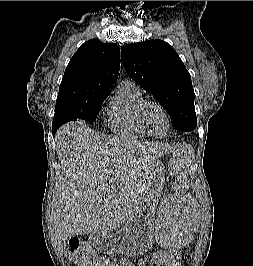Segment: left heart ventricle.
Segmentation results:
<instances>
[{
    "mask_svg": "<svg viewBox=\"0 0 253 266\" xmlns=\"http://www.w3.org/2000/svg\"><path fill=\"white\" fill-rule=\"evenodd\" d=\"M145 122L148 128L156 135H164L168 123L163 112L156 106H150L145 113Z\"/></svg>",
    "mask_w": 253,
    "mask_h": 266,
    "instance_id": "1",
    "label": "left heart ventricle"
}]
</instances>
